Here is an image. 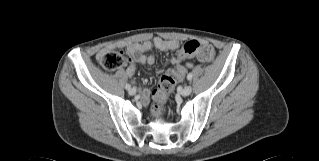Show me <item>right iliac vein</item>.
<instances>
[{
	"label": "right iliac vein",
	"mask_w": 319,
	"mask_h": 161,
	"mask_svg": "<svg viewBox=\"0 0 319 161\" xmlns=\"http://www.w3.org/2000/svg\"><path fill=\"white\" fill-rule=\"evenodd\" d=\"M129 94L130 95H135L136 94V89L135 88H130L129 89Z\"/></svg>",
	"instance_id": "1"
}]
</instances>
